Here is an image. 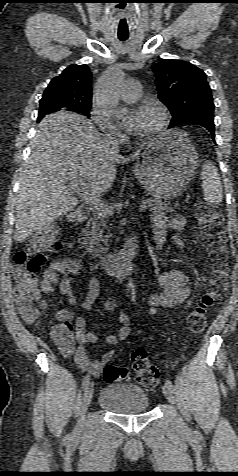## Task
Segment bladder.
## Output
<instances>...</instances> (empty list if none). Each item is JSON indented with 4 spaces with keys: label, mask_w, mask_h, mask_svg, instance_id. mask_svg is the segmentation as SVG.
Returning a JSON list of instances; mask_svg holds the SVG:
<instances>
[{
    "label": "bladder",
    "mask_w": 238,
    "mask_h": 476,
    "mask_svg": "<svg viewBox=\"0 0 238 476\" xmlns=\"http://www.w3.org/2000/svg\"><path fill=\"white\" fill-rule=\"evenodd\" d=\"M98 404L112 413L129 415L147 411L150 399L141 386L111 382L101 389Z\"/></svg>",
    "instance_id": "31cf9c89"
}]
</instances>
